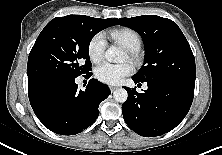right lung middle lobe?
Returning <instances> with one entry per match:
<instances>
[{
    "instance_id": "obj_1",
    "label": "right lung middle lobe",
    "mask_w": 222,
    "mask_h": 155,
    "mask_svg": "<svg viewBox=\"0 0 222 155\" xmlns=\"http://www.w3.org/2000/svg\"><path fill=\"white\" fill-rule=\"evenodd\" d=\"M116 25L110 18L56 17L41 31L28 58L27 74L42 84L76 78L91 70L89 44L95 34Z\"/></svg>"
}]
</instances>
